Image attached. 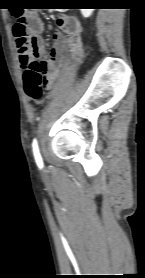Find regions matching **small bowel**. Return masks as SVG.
Instances as JSON below:
<instances>
[{
	"label": "small bowel",
	"mask_w": 145,
	"mask_h": 278,
	"mask_svg": "<svg viewBox=\"0 0 145 278\" xmlns=\"http://www.w3.org/2000/svg\"><path fill=\"white\" fill-rule=\"evenodd\" d=\"M22 18L26 20L29 32L28 47L31 51L29 49L20 51L18 48L21 68L25 70L29 66L30 58L48 52V60L46 62L48 68L47 83L51 87L59 75L65 53H69L79 62V54L81 51V22L73 17L61 16L57 20V25L61 31L54 34L52 47L47 51L42 37L44 23L38 16L37 11L31 10L24 14Z\"/></svg>",
	"instance_id": "obj_1"
}]
</instances>
